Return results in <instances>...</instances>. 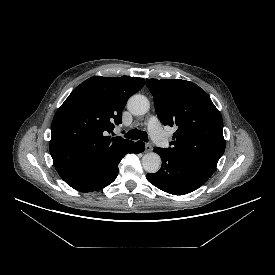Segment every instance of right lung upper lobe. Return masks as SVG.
Returning a JSON list of instances; mask_svg holds the SVG:
<instances>
[{
	"label": "right lung upper lobe",
	"mask_w": 275,
	"mask_h": 275,
	"mask_svg": "<svg viewBox=\"0 0 275 275\" xmlns=\"http://www.w3.org/2000/svg\"><path fill=\"white\" fill-rule=\"evenodd\" d=\"M145 80L138 77H91L77 86L56 112L50 153L63 180L109 164L133 141L107 136L121 123L127 100Z\"/></svg>",
	"instance_id": "cb5924a9"
}]
</instances>
